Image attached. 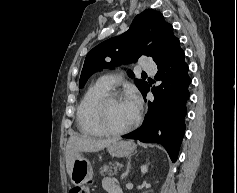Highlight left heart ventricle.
I'll use <instances>...</instances> for the list:
<instances>
[{
	"label": "left heart ventricle",
	"instance_id": "1",
	"mask_svg": "<svg viewBox=\"0 0 237 193\" xmlns=\"http://www.w3.org/2000/svg\"><path fill=\"white\" fill-rule=\"evenodd\" d=\"M136 113L127 100H120L111 103L105 114V123L114 130H120L127 127Z\"/></svg>",
	"mask_w": 237,
	"mask_h": 193
}]
</instances>
